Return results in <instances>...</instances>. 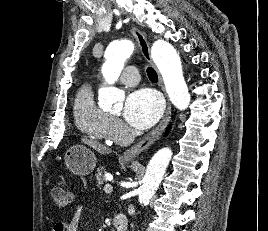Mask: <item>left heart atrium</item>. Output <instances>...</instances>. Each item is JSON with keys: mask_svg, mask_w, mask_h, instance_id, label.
Listing matches in <instances>:
<instances>
[{"mask_svg": "<svg viewBox=\"0 0 268 231\" xmlns=\"http://www.w3.org/2000/svg\"><path fill=\"white\" fill-rule=\"evenodd\" d=\"M162 112L163 103L160 96L151 89L142 88L128 94L123 115L130 126L145 129L154 125Z\"/></svg>", "mask_w": 268, "mask_h": 231, "instance_id": "left-heart-atrium-1", "label": "left heart atrium"}]
</instances>
